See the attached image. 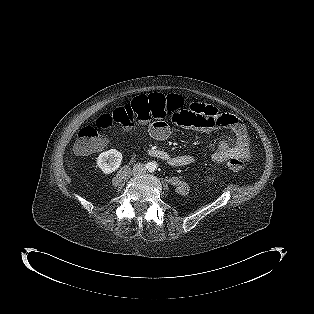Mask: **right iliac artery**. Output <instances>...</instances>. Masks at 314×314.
<instances>
[{"label": "right iliac artery", "instance_id": "obj_1", "mask_svg": "<svg viewBox=\"0 0 314 314\" xmlns=\"http://www.w3.org/2000/svg\"><path fill=\"white\" fill-rule=\"evenodd\" d=\"M150 167H151L150 164H146L147 169H150Z\"/></svg>", "mask_w": 314, "mask_h": 314}]
</instances>
